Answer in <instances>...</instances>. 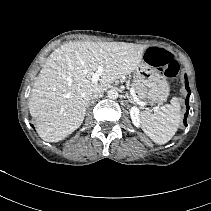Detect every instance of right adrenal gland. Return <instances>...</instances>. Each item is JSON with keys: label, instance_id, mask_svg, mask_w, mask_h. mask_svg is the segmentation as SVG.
<instances>
[{"label": "right adrenal gland", "instance_id": "obj_1", "mask_svg": "<svg viewBox=\"0 0 211 211\" xmlns=\"http://www.w3.org/2000/svg\"><path fill=\"white\" fill-rule=\"evenodd\" d=\"M93 103H94V100L90 101V102L88 103V107H89L91 104H93Z\"/></svg>", "mask_w": 211, "mask_h": 211}]
</instances>
